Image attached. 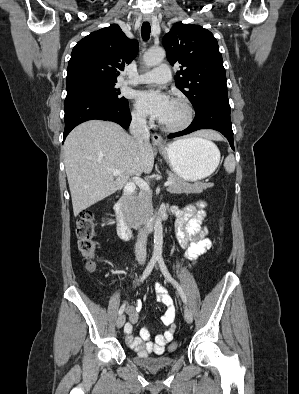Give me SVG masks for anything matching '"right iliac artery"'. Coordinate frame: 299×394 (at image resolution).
<instances>
[{
    "instance_id": "obj_1",
    "label": "right iliac artery",
    "mask_w": 299,
    "mask_h": 394,
    "mask_svg": "<svg viewBox=\"0 0 299 394\" xmlns=\"http://www.w3.org/2000/svg\"><path fill=\"white\" fill-rule=\"evenodd\" d=\"M156 261H157V257L156 256H153L150 259L146 269L144 270V272H143V274H142V276L140 278L141 282L149 276V274L151 273V271L153 270V268H154V266L156 264ZM124 310H125V304H123L120 307L118 314L121 315L124 312Z\"/></svg>"
}]
</instances>
